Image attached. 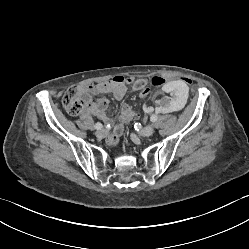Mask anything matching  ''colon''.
<instances>
[{
	"instance_id": "1",
	"label": "colon",
	"mask_w": 249,
	"mask_h": 249,
	"mask_svg": "<svg viewBox=\"0 0 249 249\" xmlns=\"http://www.w3.org/2000/svg\"><path fill=\"white\" fill-rule=\"evenodd\" d=\"M188 80V79H187ZM190 81V80H188ZM166 80L163 77L156 76L151 80L153 86H160L165 84ZM149 89H145L141 95L146 96ZM62 105L65 110L71 115L80 114L86 107V97L79 88H69L62 97Z\"/></svg>"
}]
</instances>
